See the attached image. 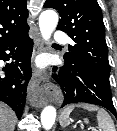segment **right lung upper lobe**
Returning a JSON list of instances; mask_svg holds the SVG:
<instances>
[{
	"mask_svg": "<svg viewBox=\"0 0 117 131\" xmlns=\"http://www.w3.org/2000/svg\"><path fill=\"white\" fill-rule=\"evenodd\" d=\"M26 0H0V45L27 33Z\"/></svg>",
	"mask_w": 117,
	"mask_h": 131,
	"instance_id": "1",
	"label": "right lung upper lobe"
}]
</instances>
